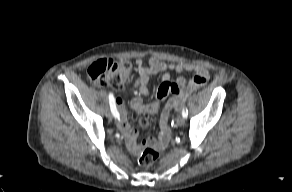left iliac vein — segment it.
Here are the masks:
<instances>
[{"mask_svg":"<svg viewBox=\"0 0 292 192\" xmlns=\"http://www.w3.org/2000/svg\"><path fill=\"white\" fill-rule=\"evenodd\" d=\"M176 123L179 126L184 125L185 124V118L183 116H178L177 119H176Z\"/></svg>","mask_w":292,"mask_h":192,"instance_id":"4c4485c4","label":"left iliac vein"}]
</instances>
